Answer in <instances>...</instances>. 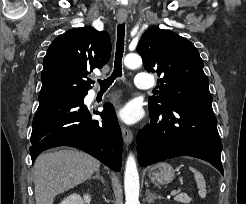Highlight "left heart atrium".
<instances>
[{"mask_svg": "<svg viewBox=\"0 0 246 204\" xmlns=\"http://www.w3.org/2000/svg\"><path fill=\"white\" fill-rule=\"evenodd\" d=\"M117 117L127 124H133L139 119V111L134 105L127 104L119 109Z\"/></svg>", "mask_w": 246, "mask_h": 204, "instance_id": "obj_1", "label": "left heart atrium"}]
</instances>
